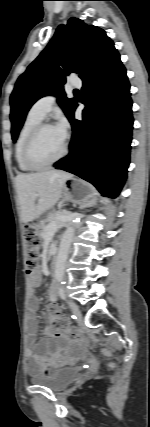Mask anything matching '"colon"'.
Returning <instances> with one entry per match:
<instances>
[{
	"instance_id": "colon-1",
	"label": "colon",
	"mask_w": 150,
	"mask_h": 427,
	"mask_svg": "<svg viewBox=\"0 0 150 427\" xmlns=\"http://www.w3.org/2000/svg\"><path fill=\"white\" fill-rule=\"evenodd\" d=\"M24 238L27 244L25 264L29 273H32L38 265L40 256V241L38 234L33 226L27 225L24 228ZM50 325L48 333L54 336H66L74 341L79 340L76 331L68 327L66 321L61 316L57 308L52 307L49 310ZM112 366V363L109 364Z\"/></svg>"
}]
</instances>
